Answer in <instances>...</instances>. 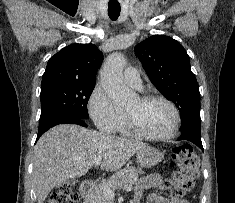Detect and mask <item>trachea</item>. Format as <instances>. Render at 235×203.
<instances>
[{
    "mask_svg": "<svg viewBox=\"0 0 235 203\" xmlns=\"http://www.w3.org/2000/svg\"><path fill=\"white\" fill-rule=\"evenodd\" d=\"M120 5L119 4H109L108 6V15L111 20L115 21L120 15Z\"/></svg>",
    "mask_w": 235,
    "mask_h": 203,
    "instance_id": "trachea-1",
    "label": "trachea"
}]
</instances>
